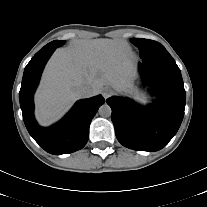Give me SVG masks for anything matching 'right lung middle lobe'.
<instances>
[{
	"label": "right lung middle lobe",
	"instance_id": "right-lung-middle-lobe-1",
	"mask_svg": "<svg viewBox=\"0 0 207 207\" xmlns=\"http://www.w3.org/2000/svg\"><path fill=\"white\" fill-rule=\"evenodd\" d=\"M64 43H65V41H59V40L52 41V42L48 43L47 45H45V46H44L40 51H38V52L45 51V50H50V49H56L57 47L62 46ZM38 52H37V53H38Z\"/></svg>",
	"mask_w": 207,
	"mask_h": 207
}]
</instances>
